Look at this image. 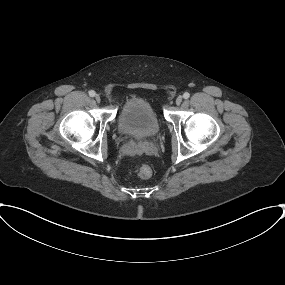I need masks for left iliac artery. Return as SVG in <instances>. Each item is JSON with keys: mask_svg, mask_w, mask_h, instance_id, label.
I'll list each match as a JSON object with an SVG mask.
<instances>
[{"mask_svg": "<svg viewBox=\"0 0 285 285\" xmlns=\"http://www.w3.org/2000/svg\"><path fill=\"white\" fill-rule=\"evenodd\" d=\"M184 99H188L190 97V94L188 92H185L183 94Z\"/></svg>", "mask_w": 285, "mask_h": 285, "instance_id": "1", "label": "left iliac artery"}]
</instances>
